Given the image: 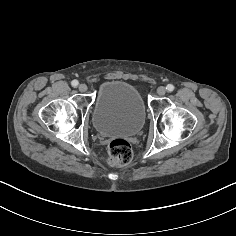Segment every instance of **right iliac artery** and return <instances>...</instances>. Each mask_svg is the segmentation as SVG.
<instances>
[{
  "instance_id": "1",
  "label": "right iliac artery",
  "mask_w": 236,
  "mask_h": 236,
  "mask_svg": "<svg viewBox=\"0 0 236 236\" xmlns=\"http://www.w3.org/2000/svg\"><path fill=\"white\" fill-rule=\"evenodd\" d=\"M78 84H79V82H78L77 80H73V81L71 82V85H72L73 87L78 86Z\"/></svg>"
}]
</instances>
